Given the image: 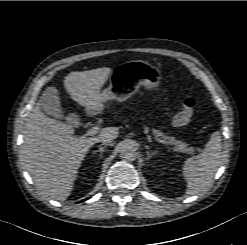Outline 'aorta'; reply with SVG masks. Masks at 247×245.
I'll return each instance as SVG.
<instances>
[{
  "instance_id": "1",
  "label": "aorta",
  "mask_w": 247,
  "mask_h": 245,
  "mask_svg": "<svg viewBox=\"0 0 247 245\" xmlns=\"http://www.w3.org/2000/svg\"><path fill=\"white\" fill-rule=\"evenodd\" d=\"M120 158L126 162H132L136 159V150L130 143H125L120 149Z\"/></svg>"
}]
</instances>
